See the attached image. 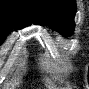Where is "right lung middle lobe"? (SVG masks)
Instances as JSON below:
<instances>
[{"mask_svg": "<svg viewBox=\"0 0 89 89\" xmlns=\"http://www.w3.org/2000/svg\"><path fill=\"white\" fill-rule=\"evenodd\" d=\"M12 29L15 28L7 25H0V43H3L6 36L11 32Z\"/></svg>", "mask_w": 89, "mask_h": 89, "instance_id": "1", "label": "right lung middle lobe"}]
</instances>
